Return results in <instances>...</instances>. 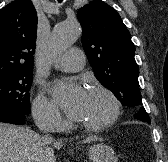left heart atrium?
<instances>
[{
    "label": "left heart atrium",
    "mask_w": 168,
    "mask_h": 162,
    "mask_svg": "<svg viewBox=\"0 0 168 162\" xmlns=\"http://www.w3.org/2000/svg\"><path fill=\"white\" fill-rule=\"evenodd\" d=\"M55 96L67 114L79 120L82 115L88 91L81 85L60 83L54 89Z\"/></svg>",
    "instance_id": "1"
}]
</instances>
